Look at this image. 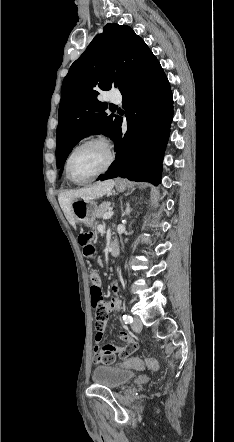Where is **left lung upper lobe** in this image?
<instances>
[{
  "label": "left lung upper lobe",
  "mask_w": 234,
  "mask_h": 442,
  "mask_svg": "<svg viewBox=\"0 0 234 442\" xmlns=\"http://www.w3.org/2000/svg\"><path fill=\"white\" fill-rule=\"evenodd\" d=\"M151 54L129 26L108 23L71 65L62 83L58 111L56 162L60 174L70 151L84 137L103 133L114 141L120 117L107 115V104L97 96L112 87L122 91L137 78Z\"/></svg>",
  "instance_id": "left-lung-upper-lobe-1"
}]
</instances>
